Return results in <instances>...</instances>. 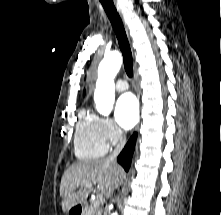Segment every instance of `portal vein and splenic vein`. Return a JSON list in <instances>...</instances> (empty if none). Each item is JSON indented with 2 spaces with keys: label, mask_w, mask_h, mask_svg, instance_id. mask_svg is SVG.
Listing matches in <instances>:
<instances>
[{
  "label": "portal vein and splenic vein",
  "mask_w": 221,
  "mask_h": 215,
  "mask_svg": "<svg viewBox=\"0 0 221 215\" xmlns=\"http://www.w3.org/2000/svg\"><path fill=\"white\" fill-rule=\"evenodd\" d=\"M87 186H90V187H91V186H92V184H88ZM101 199H102V197H101Z\"/></svg>",
  "instance_id": "portal-vein-and-splenic-vein-1"
}]
</instances>
